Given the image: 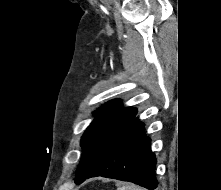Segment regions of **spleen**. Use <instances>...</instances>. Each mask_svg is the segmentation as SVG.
Returning a JSON list of instances; mask_svg holds the SVG:
<instances>
[{"mask_svg":"<svg viewBox=\"0 0 221 190\" xmlns=\"http://www.w3.org/2000/svg\"><path fill=\"white\" fill-rule=\"evenodd\" d=\"M117 190H145V189H142L140 187H137L135 185H124V186H121L119 187Z\"/></svg>","mask_w":221,"mask_h":190,"instance_id":"spleen-1","label":"spleen"}]
</instances>
